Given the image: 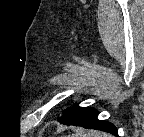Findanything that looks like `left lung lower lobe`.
<instances>
[{"mask_svg":"<svg viewBox=\"0 0 144 137\" xmlns=\"http://www.w3.org/2000/svg\"><path fill=\"white\" fill-rule=\"evenodd\" d=\"M97 110L89 107H79L74 105L63 111V114L58 118L60 123L66 125H77L89 129H98L113 135H117V128L106 121L97 119Z\"/></svg>","mask_w":144,"mask_h":137,"instance_id":"left-lung-lower-lobe-1","label":"left lung lower lobe"}]
</instances>
